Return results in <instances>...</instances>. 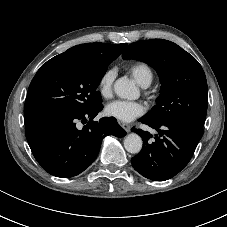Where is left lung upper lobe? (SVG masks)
Here are the masks:
<instances>
[{
    "instance_id": "1",
    "label": "left lung upper lobe",
    "mask_w": 227,
    "mask_h": 227,
    "mask_svg": "<svg viewBox=\"0 0 227 227\" xmlns=\"http://www.w3.org/2000/svg\"><path fill=\"white\" fill-rule=\"evenodd\" d=\"M123 59H136L152 66L159 75L161 94L145 116L152 122L183 120L204 126L208 89L199 62L177 44L151 39L130 44Z\"/></svg>"
}]
</instances>
